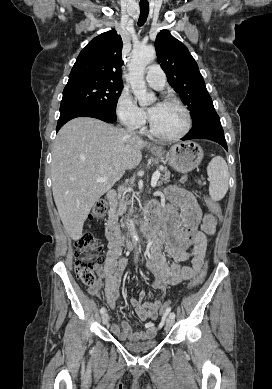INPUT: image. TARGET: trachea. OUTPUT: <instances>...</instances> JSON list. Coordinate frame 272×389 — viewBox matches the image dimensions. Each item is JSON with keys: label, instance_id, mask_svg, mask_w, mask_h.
<instances>
[{"label": "trachea", "instance_id": "obj_1", "mask_svg": "<svg viewBox=\"0 0 272 389\" xmlns=\"http://www.w3.org/2000/svg\"><path fill=\"white\" fill-rule=\"evenodd\" d=\"M149 14V5L148 4H140V16L138 19V26L144 25L147 20Z\"/></svg>", "mask_w": 272, "mask_h": 389}]
</instances>
